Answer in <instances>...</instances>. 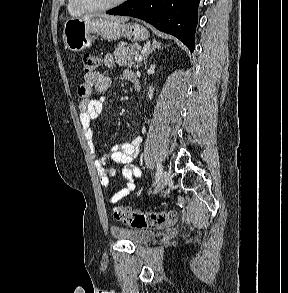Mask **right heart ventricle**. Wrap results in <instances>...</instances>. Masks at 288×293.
I'll list each match as a JSON object with an SVG mask.
<instances>
[{
  "instance_id": "obj_1",
  "label": "right heart ventricle",
  "mask_w": 288,
  "mask_h": 293,
  "mask_svg": "<svg viewBox=\"0 0 288 293\" xmlns=\"http://www.w3.org/2000/svg\"><path fill=\"white\" fill-rule=\"evenodd\" d=\"M67 10L73 16H81L83 12L79 11L73 4L72 0H67Z\"/></svg>"
}]
</instances>
